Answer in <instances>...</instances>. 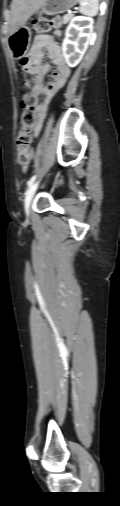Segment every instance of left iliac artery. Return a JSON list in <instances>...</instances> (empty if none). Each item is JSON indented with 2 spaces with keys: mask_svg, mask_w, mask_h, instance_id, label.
<instances>
[{
  "mask_svg": "<svg viewBox=\"0 0 120 506\" xmlns=\"http://www.w3.org/2000/svg\"><path fill=\"white\" fill-rule=\"evenodd\" d=\"M35 179H36V175L32 176L29 179V181L27 182L28 187H30L34 183Z\"/></svg>",
  "mask_w": 120,
  "mask_h": 506,
  "instance_id": "1",
  "label": "left iliac artery"
}]
</instances>
